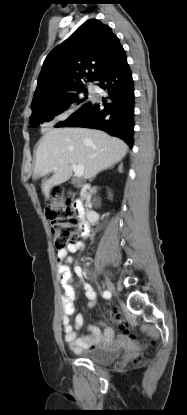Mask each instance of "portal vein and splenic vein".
I'll use <instances>...</instances> for the list:
<instances>
[{
  "label": "portal vein and splenic vein",
  "mask_w": 187,
  "mask_h": 415,
  "mask_svg": "<svg viewBox=\"0 0 187 415\" xmlns=\"http://www.w3.org/2000/svg\"><path fill=\"white\" fill-rule=\"evenodd\" d=\"M71 168L73 169V171H74V173L77 177H82L83 176V174H84V166L83 165H81V164H78V165L77 164H72ZM54 169H57V168L55 167Z\"/></svg>",
  "instance_id": "portal-vein-and-splenic-vein-1"
}]
</instances>
